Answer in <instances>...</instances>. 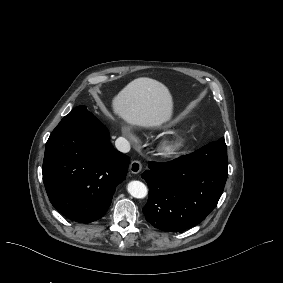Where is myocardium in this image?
Masks as SVG:
<instances>
[{
	"label": "myocardium",
	"mask_w": 283,
	"mask_h": 283,
	"mask_svg": "<svg viewBox=\"0 0 283 283\" xmlns=\"http://www.w3.org/2000/svg\"><path fill=\"white\" fill-rule=\"evenodd\" d=\"M187 148V139L182 134L166 136L160 141L161 158L171 162L180 158Z\"/></svg>",
	"instance_id": "f54148a6"
}]
</instances>
